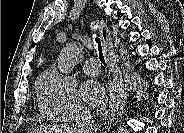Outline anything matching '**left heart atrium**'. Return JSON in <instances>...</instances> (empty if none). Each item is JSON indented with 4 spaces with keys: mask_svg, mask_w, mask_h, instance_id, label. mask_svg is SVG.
<instances>
[{
    "mask_svg": "<svg viewBox=\"0 0 184 133\" xmlns=\"http://www.w3.org/2000/svg\"><path fill=\"white\" fill-rule=\"evenodd\" d=\"M80 95L85 102L92 106L101 105L105 100L102 86L94 80H87L81 85Z\"/></svg>",
    "mask_w": 184,
    "mask_h": 133,
    "instance_id": "39dd6f15",
    "label": "left heart atrium"
}]
</instances>
